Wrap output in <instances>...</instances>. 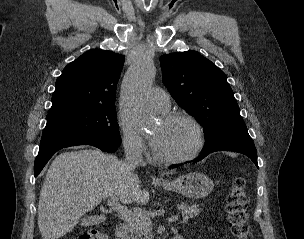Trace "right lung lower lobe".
Segmentation results:
<instances>
[{
	"label": "right lung lower lobe",
	"instance_id": "right-lung-lower-lobe-1",
	"mask_svg": "<svg viewBox=\"0 0 304 239\" xmlns=\"http://www.w3.org/2000/svg\"><path fill=\"white\" fill-rule=\"evenodd\" d=\"M75 145H92L103 151L113 153L118 149V145L110 143L108 141L92 138V137H57L41 139L39 153L36 157L34 164L35 177L41 172L48 160L60 149Z\"/></svg>",
	"mask_w": 304,
	"mask_h": 239
}]
</instances>
